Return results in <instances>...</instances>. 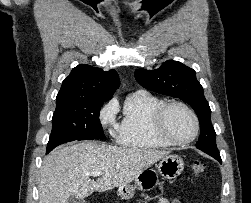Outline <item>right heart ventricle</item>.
<instances>
[{
    "label": "right heart ventricle",
    "mask_w": 251,
    "mask_h": 203,
    "mask_svg": "<svg viewBox=\"0 0 251 203\" xmlns=\"http://www.w3.org/2000/svg\"><path fill=\"white\" fill-rule=\"evenodd\" d=\"M163 103V100L146 92L129 95L115 136L116 142L127 148L141 150L168 147L169 144L158 139L151 129L152 115Z\"/></svg>",
    "instance_id": "right-heart-ventricle-1"
}]
</instances>
